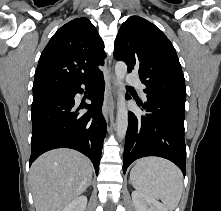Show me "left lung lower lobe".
<instances>
[{"label": "left lung lower lobe", "instance_id": "1", "mask_svg": "<svg viewBox=\"0 0 221 211\" xmlns=\"http://www.w3.org/2000/svg\"><path fill=\"white\" fill-rule=\"evenodd\" d=\"M130 99V96L126 97ZM142 116L128 113L123 172L136 159L159 156L175 163L185 176V99L176 96H147ZM143 110V109H142Z\"/></svg>", "mask_w": 221, "mask_h": 211}]
</instances>
